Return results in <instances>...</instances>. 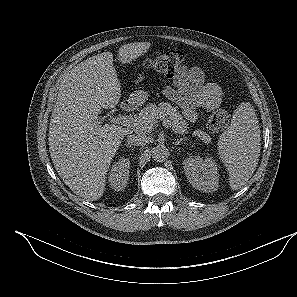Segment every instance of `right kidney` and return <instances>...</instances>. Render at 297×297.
<instances>
[{
    "label": "right kidney",
    "mask_w": 297,
    "mask_h": 297,
    "mask_svg": "<svg viewBox=\"0 0 297 297\" xmlns=\"http://www.w3.org/2000/svg\"><path fill=\"white\" fill-rule=\"evenodd\" d=\"M130 161L128 158H121L112 165L109 174V183L112 189L120 191L125 189L129 180Z\"/></svg>",
    "instance_id": "ca27d5eb"
}]
</instances>
